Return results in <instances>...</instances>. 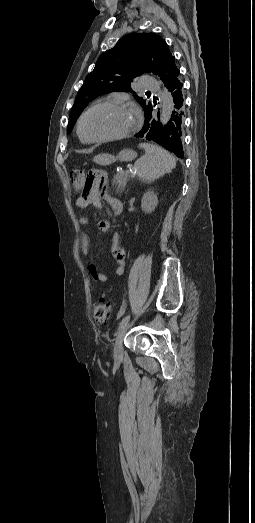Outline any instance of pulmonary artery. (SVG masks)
Returning a JSON list of instances; mask_svg holds the SVG:
<instances>
[{
    "label": "pulmonary artery",
    "instance_id": "1",
    "mask_svg": "<svg viewBox=\"0 0 255 523\" xmlns=\"http://www.w3.org/2000/svg\"><path fill=\"white\" fill-rule=\"evenodd\" d=\"M140 84L144 87L146 91L152 90V93L154 95H157L159 93L160 85L158 79L155 77L150 78L149 75L144 74L141 77Z\"/></svg>",
    "mask_w": 255,
    "mask_h": 523
}]
</instances>
